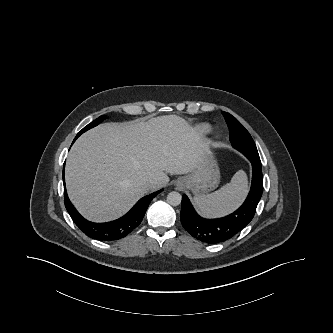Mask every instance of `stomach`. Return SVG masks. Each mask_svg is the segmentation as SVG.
<instances>
[{"mask_svg":"<svg viewBox=\"0 0 333 333\" xmlns=\"http://www.w3.org/2000/svg\"><path fill=\"white\" fill-rule=\"evenodd\" d=\"M220 180L219 168L214 160L213 154L208 149L196 168L187 176L177 180V184H182L185 189H189L193 194L204 195L215 189Z\"/></svg>","mask_w":333,"mask_h":333,"instance_id":"obj_1","label":"stomach"}]
</instances>
